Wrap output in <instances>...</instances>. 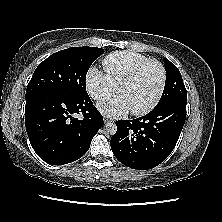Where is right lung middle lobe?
Returning a JSON list of instances; mask_svg holds the SVG:
<instances>
[{
  "label": "right lung middle lobe",
  "instance_id": "obj_1",
  "mask_svg": "<svg viewBox=\"0 0 222 222\" xmlns=\"http://www.w3.org/2000/svg\"><path fill=\"white\" fill-rule=\"evenodd\" d=\"M103 53L104 49L97 47H71L52 54L36 68L27 86L25 98L42 92L87 95V71Z\"/></svg>",
  "mask_w": 222,
  "mask_h": 222
}]
</instances>
